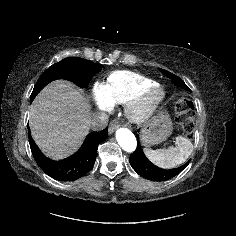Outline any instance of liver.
I'll use <instances>...</instances> for the list:
<instances>
[{"instance_id": "6515ba94", "label": "liver", "mask_w": 236, "mask_h": 236, "mask_svg": "<svg viewBox=\"0 0 236 236\" xmlns=\"http://www.w3.org/2000/svg\"><path fill=\"white\" fill-rule=\"evenodd\" d=\"M90 106L82 91L65 80L47 85L30 109L31 134L52 159H63L83 142L90 126Z\"/></svg>"}]
</instances>
